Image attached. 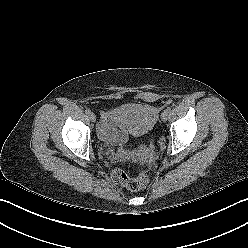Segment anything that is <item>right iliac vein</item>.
<instances>
[{"label":"right iliac vein","mask_w":248,"mask_h":248,"mask_svg":"<svg viewBox=\"0 0 248 248\" xmlns=\"http://www.w3.org/2000/svg\"><path fill=\"white\" fill-rule=\"evenodd\" d=\"M89 118H90V120H91L92 122H95V121H96V115H95L94 113H91V114L89 115Z\"/></svg>","instance_id":"right-iliac-vein-1"}]
</instances>
